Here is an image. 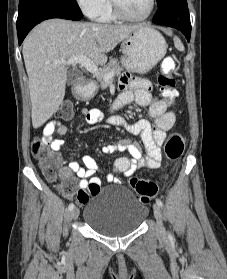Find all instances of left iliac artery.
I'll return each instance as SVG.
<instances>
[{
	"label": "left iliac artery",
	"mask_w": 227,
	"mask_h": 279,
	"mask_svg": "<svg viewBox=\"0 0 227 279\" xmlns=\"http://www.w3.org/2000/svg\"><path fill=\"white\" fill-rule=\"evenodd\" d=\"M156 203L159 205V206H163V202L160 200V199H156ZM169 237H172V235L169 233Z\"/></svg>",
	"instance_id": "left-iliac-artery-1"
}]
</instances>
